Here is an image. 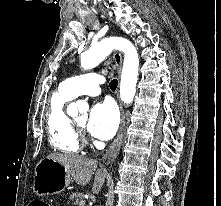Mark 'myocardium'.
<instances>
[{"label": "myocardium", "mask_w": 221, "mask_h": 206, "mask_svg": "<svg viewBox=\"0 0 221 206\" xmlns=\"http://www.w3.org/2000/svg\"><path fill=\"white\" fill-rule=\"evenodd\" d=\"M73 123H74L76 129L78 130V133L79 134L83 133V126L80 125L79 123H77L76 121H73Z\"/></svg>", "instance_id": "1"}]
</instances>
